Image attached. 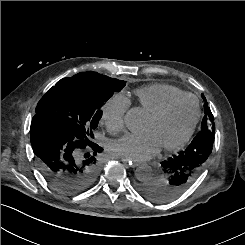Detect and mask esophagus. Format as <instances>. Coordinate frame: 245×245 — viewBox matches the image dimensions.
Returning <instances> with one entry per match:
<instances>
[{
	"mask_svg": "<svg viewBox=\"0 0 245 245\" xmlns=\"http://www.w3.org/2000/svg\"><path fill=\"white\" fill-rule=\"evenodd\" d=\"M121 161L126 163L128 167L130 168H136L137 166H139V163L133 160H129V159H125V158H121Z\"/></svg>",
	"mask_w": 245,
	"mask_h": 245,
	"instance_id": "34e87169",
	"label": "esophagus"
}]
</instances>
